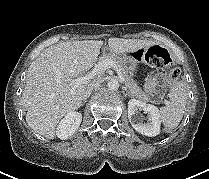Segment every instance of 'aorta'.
I'll return each instance as SVG.
<instances>
[{"mask_svg": "<svg viewBox=\"0 0 209 179\" xmlns=\"http://www.w3.org/2000/svg\"><path fill=\"white\" fill-rule=\"evenodd\" d=\"M119 88V81L115 78H112L109 82H108V89L111 91H115Z\"/></svg>", "mask_w": 209, "mask_h": 179, "instance_id": "obj_1", "label": "aorta"}]
</instances>
